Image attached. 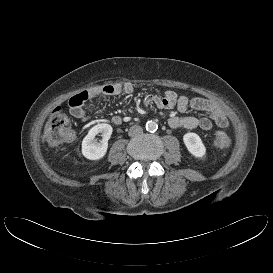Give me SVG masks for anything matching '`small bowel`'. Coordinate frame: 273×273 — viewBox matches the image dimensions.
Returning <instances> with one entry per match:
<instances>
[{
  "label": "small bowel",
  "instance_id": "1",
  "mask_svg": "<svg viewBox=\"0 0 273 273\" xmlns=\"http://www.w3.org/2000/svg\"><path fill=\"white\" fill-rule=\"evenodd\" d=\"M135 89L136 85L134 83L127 82L122 85H106L102 88L92 90L89 92L88 98L80 106H73L69 101L70 113L76 119L86 121L87 108L93 100L104 96L131 94ZM145 104L148 106L155 105L160 109L177 108L180 113H185L188 109L206 113L204 117L171 116L168 119V124L172 128L194 129L199 127L203 130H211L214 125L220 128H227L229 126L224 110L214 101L203 97L189 99L184 95L178 96L174 91H167L163 96L149 94L145 99ZM120 121L121 118L119 116L113 119V122L116 124Z\"/></svg>",
  "mask_w": 273,
  "mask_h": 273
}]
</instances>
